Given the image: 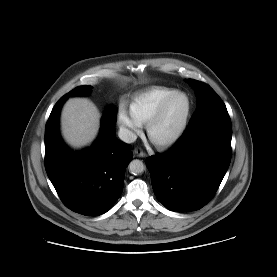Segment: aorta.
<instances>
[{"instance_id": "1", "label": "aorta", "mask_w": 277, "mask_h": 277, "mask_svg": "<svg viewBox=\"0 0 277 277\" xmlns=\"http://www.w3.org/2000/svg\"><path fill=\"white\" fill-rule=\"evenodd\" d=\"M145 170V166L141 160L135 159L129 164V172L137 175L142 173Z\"/></svg>"}]
</instances>
